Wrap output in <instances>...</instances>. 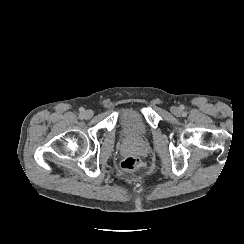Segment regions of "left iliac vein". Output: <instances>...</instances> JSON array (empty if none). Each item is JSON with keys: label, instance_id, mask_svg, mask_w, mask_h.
<instances>
[{"label": "left iliac vein", "instance_id": "1", "mask_svg": "<svg viewBox=\"0 0 244 244\" xmlns=\"http://www.w3.org/2000/svg\"><path fill=\"white\" fill-rule=\"evenodd\" d=\"M171 112L175 115V116H180L182 114V111L179 107L173 106L171 108Z\"/></svg>", "mask_w": 244, "mask_h": 244}]
</instances>
